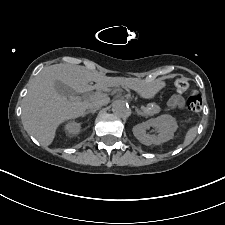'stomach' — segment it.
<instances>
[{
    "label": "stomach",
    "mask_w": 225,
    "mask_h": 225,
    "mask_svg": "<svg viewBox=\"0 0 225 225\" xmlns=\"http://www.w3.org/2000/svg\"><path fill=\"white\" fill-rule=\"evenodd\" d=\"M155 92H156V90H155V89H153V90H149V91H147V92H146V94H145V95H146L147 97H151V96H153V95L155 94Z\"/></svg>",
    "instance_id": "1"
}]
</instances>
